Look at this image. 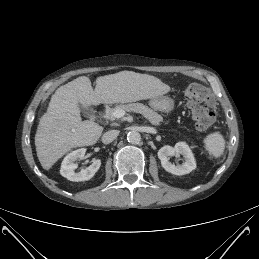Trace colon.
I'll list each match as a JSON object with an SVG mask.
<instances>
[{
	"mask_svg": "<svg viewBox=\"0 0 259 259\" xmlns=\"http://www.w3.org/2000/svg\"><path fill=\"white\" fill-rule=\"evenodd\" d=\"M184 96L196 128L202 132L209 130L215 122L210 90L201 84L192 83L185 88Z\"/></svg>",
	"mask_w": 259,
	"mask_h": 259,
	"instance_id": "5ec220e1",
	"label": "colon"
}]
</instances>
